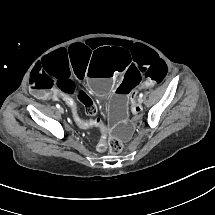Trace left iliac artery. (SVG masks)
<instances>
[{
  "instance_id": "obj_1",
  "label": "left iliac artery",
  "mask_w": 215,
  "mask_h": 215,
  "mask_svg": "<svg viewBox=\"0 0 215 215\" xmlns=\"http://www.w3.org/2000/svg\"><path fill=\"white\" fill-rule=\"evenodd\" d=\"M139 100H140L141 102L143 101V94H142V93L139 95Z\"/></svg>"
}]
</instances>
